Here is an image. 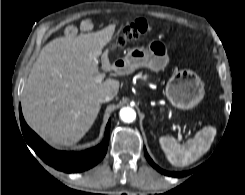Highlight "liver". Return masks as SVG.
I'll return each mask as SVG.
<instances>
[{
	"label": "liver",
	"instance_id": "obj_1",
	"mask_svg": "<svg viewBox=\"0 0 245 195\" xmlns=\"http://www.w3.org/2000/svg\"><path fill=\"white\" fill-rule=\"evenodd\" d=\"M115 24L77 37L67 36L45 45L23 90L22 110L27 124L54 145L76 144L91 128L103 94L117 96L119 82L96 83L98 58L111 41ZM102 54V67L116 71Z\"/></svg>",
	"mask_w": 245,
	"mask_h": 195
}]
</instances>
